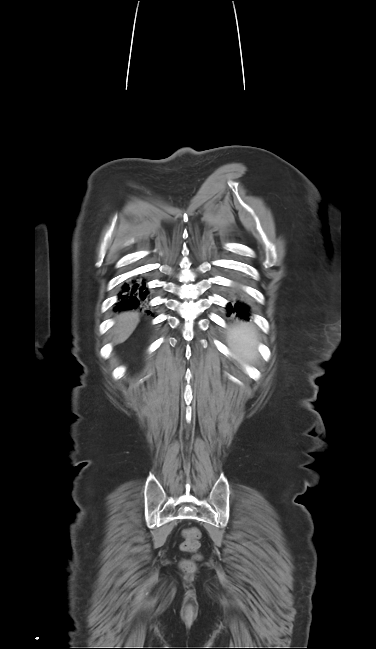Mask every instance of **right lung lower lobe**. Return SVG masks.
<instances>
[{
  "mask_svg": "<svg viewBox=\"0 0 376 649\" xmlns=\"http://www.w3.org/2000/svg\"><path fill=\"white\" fill-rule=\"evenodd\" d=\"M147 293L144 281L126 282L118 294L120 301L116 304L115 310L136 308L142 300L146 299Z\"/></svg>",
  "mask_w": 376,
  "mask_h": 649,
  "instance_id": "right-lung-lower-lobe-1",
  "label": "right lung lower lobe"
}]
</instances>
